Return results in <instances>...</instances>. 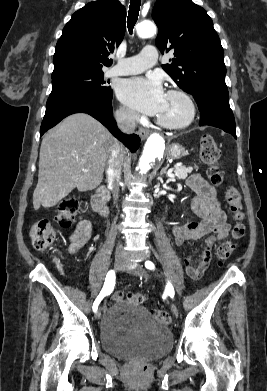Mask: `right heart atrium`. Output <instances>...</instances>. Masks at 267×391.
Wrapping results in <instances>:
<instances>
[{
  "label": "right heart atrium",
  "instance_id": "1",
  "mask_svg": "<svg viewBox=\"0 0 267 391\" xmlns=\"http://www.w3.org/2000/svg\"><path fill=\"white\" fill-rule=\"evenodd\" d=\"M117 119L124 124H131L136 121L137 115L125 106H120L116 112Z\"/></svg>",
  "mask_w": 267,
  "mask_h": 391
}]
</instances>
